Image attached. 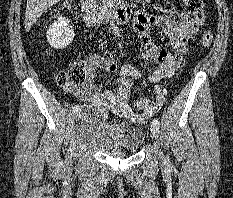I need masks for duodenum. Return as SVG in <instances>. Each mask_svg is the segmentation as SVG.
Wrapping results in <instances>:
<instances>
[{"label": "duodenum", "mask_w": 233, "mask_h": 198, "mask_svg": "<svg viewBox=\"0 0 233 198\" xmlns=\"http://www.w3.org/2000/svg\"><path fill=\"white\" fill-rule=\"evenodd\" d=\"M81 11L91 22L112 20L123 24L131 18L132 5L125 3L111 10H98L93 0H81Z\"/></svg>", "instance_id": "1"}]
</instances>
